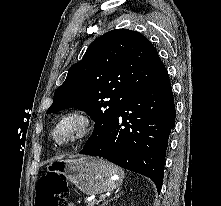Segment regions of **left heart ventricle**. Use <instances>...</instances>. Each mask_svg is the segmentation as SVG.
<instances>
[{"label": "left heart ventricle", "instance_id": "1", "mask_svg": "<svg viewBox=\"0 0 221 206\" xmlns=\"http://www.w3.org/2000/svg\"><path fill=\"white\" fill-rule=\"evenodd\" d=\"M71 128H72V126H70V129H71ZM66 131H67V129L63 130V131L61 132V135H63Z\"/></svg>", "mask_w": 221, "mask_h": 206}]
</instances>
